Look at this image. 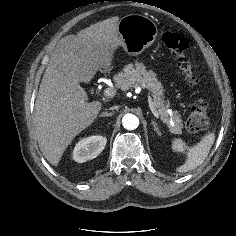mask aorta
<instances>
[{"label":"aorta","mask_w":236,"mask_h":236,"mask_svg":"<svg viewBox=\"0 0 236 236\" xmlns=\"http://www.w3.org/2000/svg\"><path fill=\"white\" fill-rule=\"evenodd\" d=\"M122 125L127 130H134L139 125V119L134 114H125L122 118Z\"/></svg>","instance_id":"aorta-1"}]
</instances>
